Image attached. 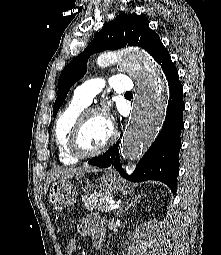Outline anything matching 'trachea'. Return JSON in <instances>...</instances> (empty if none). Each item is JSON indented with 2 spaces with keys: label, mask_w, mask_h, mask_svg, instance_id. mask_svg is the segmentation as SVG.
I'll return each instance as SVG.
<instances>
[{
  "label": "trachea",
  "mask_w": 221,
  "mask_h": 255,
  "mask_svg": "<svg viewBox=\"0 0 221 255\" xmlns=\"http://www.w3.org/2000/svg\"><path fill=\"white\" fill-rule=\"evenodd\" d=\"M125 95H132V93L128 92V93H126Z\"/></svg>",
  "instance_id": "3493384b"
}]
</instances>
